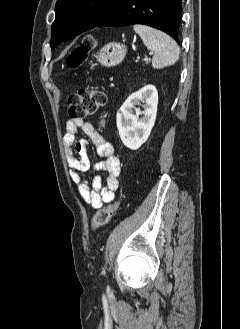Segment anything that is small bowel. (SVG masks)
Returning <instances> with one entry per match:
<instances>
[{"label": "small bowel", "mask_w": 240, "mask_h": 329, "mask_svg": "<svg viewBox=\"0 0 240 329\" xmlns=\"http://www.w3.org/2000/svg\"><path fill=\"white\" fill-rule=\"evenodd\" d=\"M79 129L93 143L98 156L102 158V162L95 164L94 168L106 171L105 185H103V179L100 176L94 177L89 184L81 175V172L90 168L91 162L87 151L88 141L77 139ZM63 145L67 163L71 168L70 176L83 200L95 209L112 202L119 186L120 163L113 153L111 144L91 123L82 119H70L66 124Z\"/></svg>", "instance_id": "1"}]
</instances>
